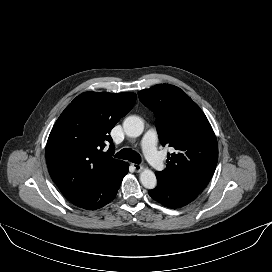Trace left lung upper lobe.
I'll return each mask as SVG.
<instances>
[{"instance_id": "5c2ea615", "label": "left lung upper lobe", "mask_w": 272, "mask_h": 272, "mask_svg": "<svg viewBox=\"0 0 272 272\" xmlns=\"http://www.w3.org/2000/svg\"><path fill=\"white\" fill-rule=\"evenodd\" d=\"M140 101L156 117L163 146L175 148L168 154L164 171L156 177L202 191L218 161V144L213 129L200 107L180 88L159 84L138 93Z\"/></svg>"}]
</instances>
